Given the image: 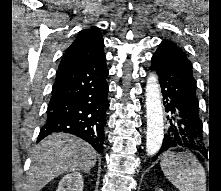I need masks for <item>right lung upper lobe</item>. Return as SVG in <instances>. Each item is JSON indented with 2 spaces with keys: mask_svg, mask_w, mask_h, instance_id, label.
I'll return each mask as SVG.
<instances>
[{
  "mask_svg": "<svg viewBox=\"0 0 221 191\" xmlns=\"http://www.w3.org/2000/svg\"><path fill=\"white\" fill-rule=\"evenodd\" d=\"M103 46L104 42L99 30L81 31L66 50L58 70L86 61L105 58Z\"/></svg>",
  "mask_w": 221,
  "mask_h": 191,
  "instance_id": "1",
  "label": "right lung upper lobe"
}]
</instances>
